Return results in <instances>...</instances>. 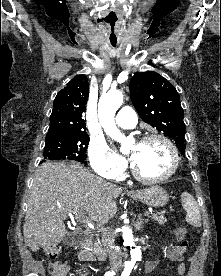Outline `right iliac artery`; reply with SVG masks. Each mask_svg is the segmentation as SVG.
I'll return each mask as SVG.
<instances>
[{
  "label": "right iliac artery",
  "instance_id": "82829eb1",
  "mask_svg": "<svg viewBox=\"0 0 221 276\" xmlns=\"http://www.w3.org/2000/svg\"><path fill=\"white\" fill-rule=\"evenodd\" d=\"M115 275V272L114 271H112V272H106L105 273V276H114Z\"/></svg>",
  "mask_w": 221,
  "mask_h": 276
}]
</instances>
